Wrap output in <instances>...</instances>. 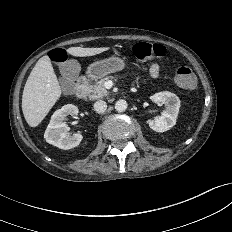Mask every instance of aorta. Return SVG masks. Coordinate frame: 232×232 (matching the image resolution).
Listing matches in <instances>:
<instances>
[{"instance_id": "762f6f07", "label": "aorta", "mask_w": 232, "mask_h": 232, "mask_svg": "<svg viewBox=\"0 0 232 232\" xmlns=\"http://www.w3.org/2000/svg\"><path fill=\"white\" fill-rule=\"evenodd\" d=\"M127 102L125 100H118L116 103H115V109L116 111L118 112H124L126 109H127Z\"/></svg>"}]
</instances>
